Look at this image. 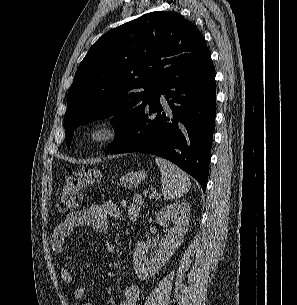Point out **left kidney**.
I'll return each mask as SVG.
<instances>
[{"instance_id":"obj_1","label":"left kidney","mask_w":297,"mask_h":305,"mask_svg":"<svg viewBox=\"0 0 297 305\" xmlns=\"http://www.w3.org/2000/svg\"><path fill=\"white\" fill-rule=\"evenodd\" d=\"M189 219L190 205L186 201L174 202L158 212L156 220L166 230V239L157 253L150 256V259L146 258L148 245L142 241L136 244L133 265L139 280H147L155 275L172 257L188 230ZM169 223L173 225L169 227Z\"/></svg>"}]
</instances>
